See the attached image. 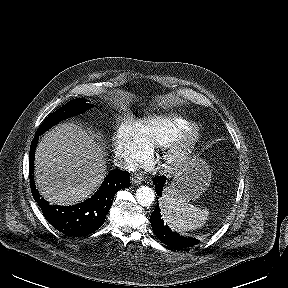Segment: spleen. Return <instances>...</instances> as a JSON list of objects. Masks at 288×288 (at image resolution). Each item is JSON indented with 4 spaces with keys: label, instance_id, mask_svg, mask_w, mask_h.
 <instances>
[{
    "label": "spleen",
    "instance_id": "obj_1",
    "mask_svg": "<svg viewBox=\"0 0 288 288\" xmlns=\"http://www.w3.org/2000/svg\"><path fill=\"white\" fill-rule=\"evenodd\" d=\"M160 203L164 221L179 231L185 232L200 228L208 219L207 209L191 205L167 192Z\"/></svg>",
    "mask_w": 288,
    "mask_h": 288
}]
</instances>
